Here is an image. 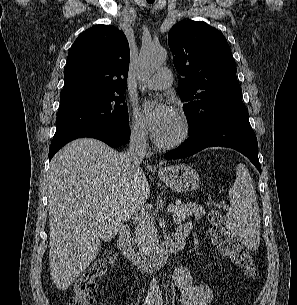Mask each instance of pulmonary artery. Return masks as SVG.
Masks as SVG:
<instances>
[{"instance_id":"obj_1","label":"pulmonary artery","mask_w":297,"mask_h":305,"mask_svg":"<svg viewBox=\"0 0 297 305\" xmlns=\"http://www.w3.org/2000/svg\"><path fill=\"white\" fill-rule=\"evenodd\" d=\"M173 76L168 68H160L146 82V86L151 90H164L172 85Z\"/></svg>"}]
</instances>
